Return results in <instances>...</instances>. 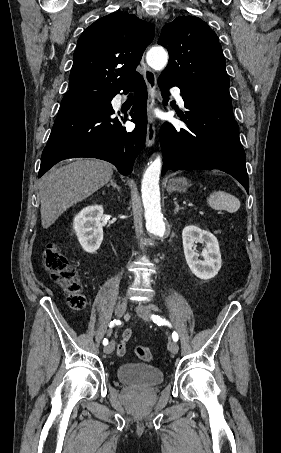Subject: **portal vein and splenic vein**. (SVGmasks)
Returning a JSON list of instances; mask_svg holds the SVG:
<instances>
[{"instance_id":"1","label":"portal vein and splenic vein","mask_w":281,"mask_h":453,"mask_svg":"<svg viewBox=\"0 0 281 453\" xmlns=\"http://www.w3.org/2000/svg\"><path fill=\"white\" fill-rule=\"evenodd\" d=\"M195 210L198 211L199 209L196 208ZM198 212L200 213V215H203V212H202L201 210H199ZM216 212H217L219 215H220V214H222V215L224 214L221 210H217ZM221 212H222V213H221Z\"/></svg>"}]
</instances>
